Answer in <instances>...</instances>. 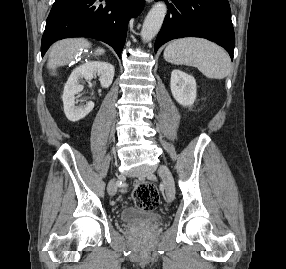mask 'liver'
<instances>
[{
    "label": "liver",
    "instance_id": "6515ba94",
    "mask_svg": "<svg viewBox=\"0 0 286 269\" xmlns=\"http://www.w3.org/2000/svg\"><path fill=\"white\" fill-rule=\"evenodd\" d=\"M90 43L85 39H65L55 43L49 53L47 67L55 75L57 67L65 66L74 60L79 49L89 48ZM105 50L97 48L95 56L104 54Z\"/></svg>",
    "mask_w": 286,
    "mask_h": 269
}]
</instances>
